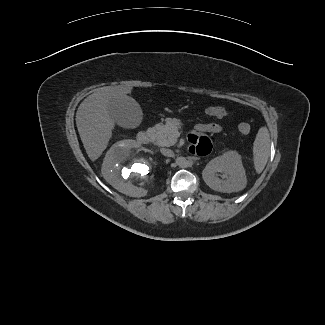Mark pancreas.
Here are the masks:
<instances>
[{
    "instance_id": "pancreas-1",
    "label": "pancreas",
    "mask_w": 325,
    "mask_h": 325,
    "mask_svg": "<svg viewBox=\"0 0 325 325\" xmlns=\"http://www.w3.org/2000/svg\"><path fill=\"white\" fill-rule=\"evenodd\" d=\"M181 122L178 119H166V123L158 124L153 127L156 133L154 144L157 146L170 147L177 141L176 132L181 128Z\"/></svg>"
}]
</instances>
